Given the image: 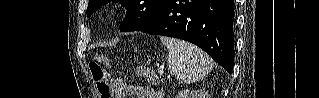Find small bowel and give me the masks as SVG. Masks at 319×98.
<instances>
[{
	"label": "small bowel",
	"instance_id": "obj_1",
	"mask_svg": "<svg viewBox=\"0 0 319 98\" xmlns=\"http://www.w3.org/2000/svg\"><path fill=\"white\" fill-rule=\"evenodd\" d=\"M110 81L114 90V98H125L128 95H133L137 98H163L160 93L151 88L130 85L121 79L112 78Z\"/></svg>",
	"mask_w": 319,
	"mask_h": 98
}]
</instances>
